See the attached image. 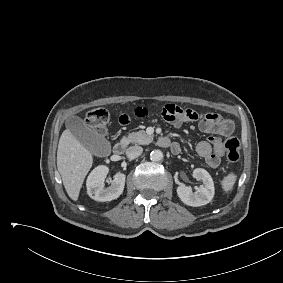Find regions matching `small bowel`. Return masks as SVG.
<instances>
[{"label": "small bowel", "mask_w": 283, "mask_h": 283, "mask_svg": "<svg viewBox=\"0 0 283 283\" xmlns=\"http://www.w3.org/2000/svg\"><path fill=\"white\" fill-rule=\"evenodd\" d=\"M134 114L137 116H145L147 110L145 108H136ZM165 120L173 124L176 128H180L186 122H194L198 124L199 129L209 134L208 138L201 141L196 146V151L202 157L210 168H217L224 155V147L221 136H228L234 130L232 120L222 117L214 112L199 113L193 109H184L175 104H167L162 110ZM130 117L122 114L119 122L122 125L128 124ZM180 149L178 143H174Z\"/></svg>", "instance_id": "small-bowel-1"}]
</instances>
